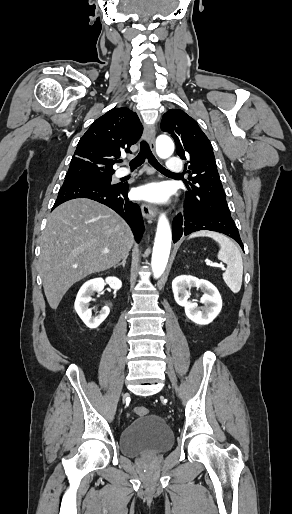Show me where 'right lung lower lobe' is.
<instances>
[{
  "instance_id": "98d812e1",
  "label": "right lung lower lobe",
  "mask_w": 292,
  "mask_h": 514,
  "mask_svg": "<svg viewBox=\"0 0 292 514\" xmlns=\"http://www.w3.org/2000/svg\"><path fill=\"white\" fill-rule=\"evenodd\" d=\"M128 183L101 184L85 180L64 181L52 208L75 198H89L116 211L131 227L137 242L144 231L141 209L128 198Z\"/></svg>"
}]
</instances>
